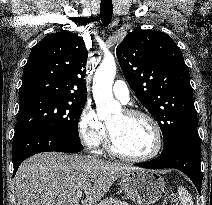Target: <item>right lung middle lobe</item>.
I'll list each match as a JSON object with an SVG mask.
<instances>
[{
  "label": "right lung middle lobe",
  "instance_id": "dd1d6c3e",
  "mask_svg": "<svg viewBox=\"0 0 212 205\" xmlns=\"http://www.w3.org/2000/svg\"><path fill=\"white\" fill-rule=\"evenodd\" d=\"M20 101L15 136L32 130H52L79 141L78 121L86 101L54 97Z\"/></svg>",
  "mask_w": 212,
  "mask_h": 205
}]
</instances>
